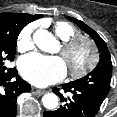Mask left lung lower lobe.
<instances>
[{
  "label": "left lung lower lobe",
  "instance_id": "0a47b994",
  "mask_svg": "<svg viewBox=\"0 0 117 117\" xmlns=\"http://www.w3.org/2000/svg\"><path fill=\"white\" fill-rule=\"evenodd\" d=\"M62 88L73 94L72 99H65L59 89L54 88L64 104L56 111H45L44 117H94L105 99L93 90L70 83L63 84Z\"/></svg>",
  "mask_w": 117,
  "mask_h": 117
}]
</instances>
